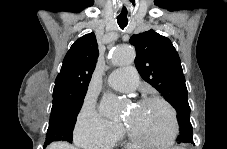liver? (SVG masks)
Masks as SVG:
<instances>
[{
  "label": "liver",
  "instance_id": "6515ba94",
  "mask_svg": "<svg viewBox=\"0 0 227 149\" xmlns=\"http://www.w3.org/2000/svg\"><path fill=\"white\" fill-rule=\"evenodd\" d=\"M48 149H76L74 146L67 143H54Z\"/></svg>",
  "mask_w": 227,
  "mask_h": 149
}]
</instances>
